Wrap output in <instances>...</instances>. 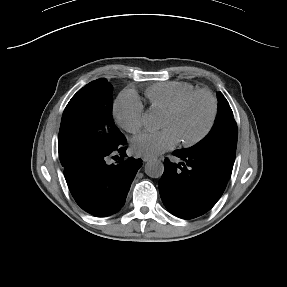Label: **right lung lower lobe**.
<instances>
[{"label": "right lung lower lobe", "mask_w": 287, "mask_h": 287, "mask_svg": "<svg viewBox=\"0 0 287 287\" xmlns=\"http://www.w3.org/2000/svg\"><path fill=\"white\" fill-rule=\"evenodd\" d=\"M125 138L117 147L98 154L83 157L68 166L64 175L72 196L86 212L105 217L120 210L124 205L131 183L142 166L141 159L132 157L108 164L107 159L113 154L125 157L123 147Z\"/></svg>", "instance_id": "obj_1"}]
</instances>
